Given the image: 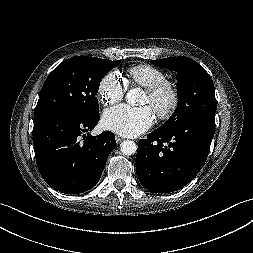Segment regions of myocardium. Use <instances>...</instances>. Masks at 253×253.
<instances>
[{
    "label": "myocardium",
    "instance_id": "obj_1",
    "mask_svg": "<svg viewBox=\"0 0 253 253\" xmlns=\"http://www.w3.org/2000/svg\"><path fill=\"white\" fill-rule=\"evenodd\" d=\"M146 93L151 99V106L160 120L170 119L179 106V92L169 80L163 79L149 87Z\"/></svg>",
    "mask_w": 253,
    "mask_h": 253
}]
</instances>
